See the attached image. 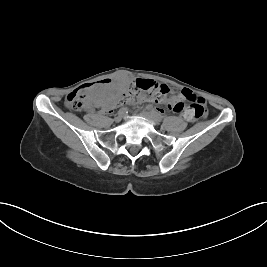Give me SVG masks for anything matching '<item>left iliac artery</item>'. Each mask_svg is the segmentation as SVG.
Returning a JSON list of instances; mask_svg holds the SVG:
<instances>
[{
    "label": "left iliac artery",
    "mask_w": 267,
    "mask_h": 267,
    "mask_svg": "<svg viewBox=\"0 0 267 267\" xmlns=\"http://www.w3.org/2000/svg\"><path fill=\"white\" fill-rule=\"evenodd\" d=\"M151 115L157 120V121H161L162 120V116L161 114H159L158 112H156L153 109H149Z\"/></svg>",
    "instance_id": "left-iliac-artery-1"
}]
</instances>
